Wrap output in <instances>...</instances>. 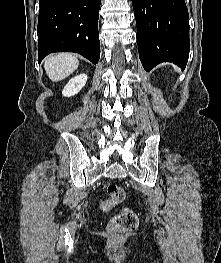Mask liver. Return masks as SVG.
Masks as SVG:
<instances>
[{
    "label": "liver",
    "instance_id": "6515ba94",
    "mask_svg": "<svg viewBox=\"0 0 221 263\" xmlns=\"http://www.w3.org/2000/svg\"><path fill=\"white\" fill-rule=\"evenodd\" d=\"M79 66L76 56L70 53H58L46 58L44 68L49 79L61 81L71 75Z\"/></svg>",
    "mask_w": 221,
    "mask_h": 263
}]
</instances>
